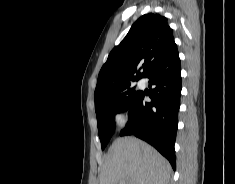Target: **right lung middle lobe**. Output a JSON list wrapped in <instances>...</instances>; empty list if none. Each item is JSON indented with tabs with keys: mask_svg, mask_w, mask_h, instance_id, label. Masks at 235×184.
Returning <instances> with one entry per match:
<instances>
[{
	"mask_svg": "<svg viewBox=\"0 0 235 184\" xmlns=\"http://www.w3.org/2000/svg\"><path fill=\"white\" fill-rule=\"evenodd\" d=\"M140 91L132 83L114 87L110 90L111 102L108 105L95 107L97 116L98 134L102 150L111 139L115 126L113 116L120 111H126L139 95Z\"/></svg>",
	"mask_w": 235,
	"mask_h": 184,
	"instance_id": "1",
	"label": "right lung middle lobe"
}]
</instances>
